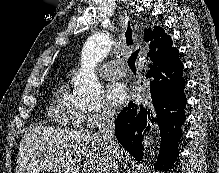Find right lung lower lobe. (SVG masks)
Returning <instances> with one entry per match:
<instances>
[{
  "instance_id": "1",
  "label": "right lung lower lobe",
  "mask_w": 219,
  "mask_h": 173,
  "mask_svg": "<svg viewBox=\"0 0 219 173\" xmlns=\"http://www.w3.org/2000/svg\"><path fill=\"white\" fill-rule=\"evenodd\" d=\"M151 61L150 70L146 73L149 88L142 100L130 102L119 113L115 134L121 145L140 161L143 158L142 132L150 128L148 123L156 124L159 152L154 167L167 171L179 155L178 142L182 136L181 125L185 121L183 64L178 51Z\"/></svg>"
}]
</instances>
